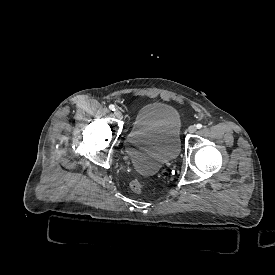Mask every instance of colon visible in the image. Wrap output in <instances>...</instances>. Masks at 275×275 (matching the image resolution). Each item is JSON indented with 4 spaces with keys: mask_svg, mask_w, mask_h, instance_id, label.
I'll list each match as a JSON object with an SVG mask.
<instances>
[{
    "mask_svg": "<svg viewBox=\"0 0 275 275\" xmlns=\"http://www.w3.org/2000/svg\"><path fill=\"white\" fill-rule=\"evenodd\" d=\"M144 188V183L140 179H134L130 183V189L134 193H141Z\"/></svg>",
    "mask_w": 275,
    "mask_h": 275,
    "instance_id": "obj_1",
    "label": "colon"
}]
</instances>
